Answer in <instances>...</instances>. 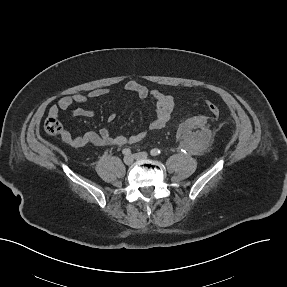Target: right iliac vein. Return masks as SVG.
<instances>
[{
    "label": "right iliac vein",
    "instance_id": "1",
    "mask_svg": "<svg viewBox=\"0 0 287 287\" xmlns=\"http://www.w3.org/2000/svg\"><path fill=\"white\" fill-rule=\"evenodd\" d=\"M123 161L126 165H131L134 161V158L131 155H126Z\"/></svg>",
    "mask_w": 287,
    "mask_h": 287
}]
</instances>
